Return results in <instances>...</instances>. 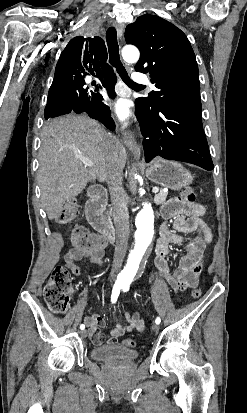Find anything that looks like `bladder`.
<instances>
[{
	"mask_svg": "<svg viewBox=\"0 0 247 413\" xmlns=\"http://www.w3.org/2000/svg\"><path fill=\"white\" fill-rule=\"evenodd\" d=\"M92 359L98 362L127 364L138 357V352L121 344H110L91 350Z\"/></svg>",
	"mask_w": 247,
	"mask_h": 413,
	"instance_id": "31cf9c89",
	"label": "bladder"
}]
</instances>
